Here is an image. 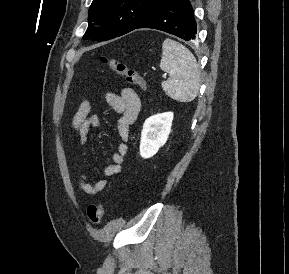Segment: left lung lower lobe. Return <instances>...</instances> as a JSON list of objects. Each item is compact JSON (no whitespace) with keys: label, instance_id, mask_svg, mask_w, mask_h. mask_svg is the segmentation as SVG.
Instances as JSON below:
<instances>
[{"label":"left lung lower lobe","instance_id":"0a47b994","mask_svg":"<svg viewBox=\"0 0 289 274\" xmlns=\"http://www.w3.org/2000/svg\"><path fill=\"white\" fill-rule=\"evenodd\" d=\"M137 28L161 30L186 41L194 40L197 33L190 0H166Z\"/></svg>","mask_w":289,"mask_h":274}]
</instances>
